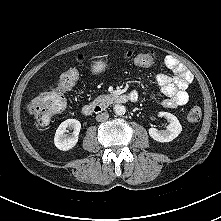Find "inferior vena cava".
Instances as JSON below:
<instances>
[{"mask_svg":"<svg viewBox=\"0 0 221 221\" xmlns=\"http://www.w3.org/2000/svg\"><path fill=\"white\" fill-rule=\"evenodd\" d=\"M108 117H109V114L106 113V112H104V113L98 114V115L96 116V120H97L98 122H103V121H106V120L108 119Z\"/></svg>","mask_w":221,"mask_h":221,"instance_id":"inferior-vena-cava-1","label":"inferior vena cava"}]
</instances>
